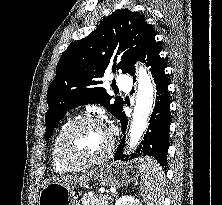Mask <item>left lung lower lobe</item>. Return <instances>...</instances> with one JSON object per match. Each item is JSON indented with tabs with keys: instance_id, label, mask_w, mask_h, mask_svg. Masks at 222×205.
Here are the masks:
<instances>
[{
	"instance_id": "1",
	"label": "left lung lower lobe",
	"mask_w": 222,
	"mask_h": 205,
	"mask_svg": "<svg viewBox=\"0 0 222 205\" xmlns=\"http://www.w3.org/2000/svg\"><path fill=\"white\" fill-rule=\"evenodd\" d=\"M160 47L155 41V33H153L146 42L140 56L137 60L146 62L150 66L152 76L156 83V104L150 119V125L144 136L142 145L133 153L130 158L141 157L144 155L153 156L162 166L167 164V150L169 147V129H170V97L168 92V78L164 72L165 63L159 56ZM129 74L134 76L135 68H131ZM135 80V76L133 78ZM121 121L122 131L125 133L127 127V117L123 111L118 118ZM125 136L123 137L117 152L114 155L115 160H128L129 155H123Z\"/></svg>"
}]
</instances>
